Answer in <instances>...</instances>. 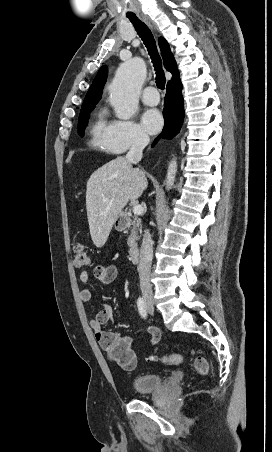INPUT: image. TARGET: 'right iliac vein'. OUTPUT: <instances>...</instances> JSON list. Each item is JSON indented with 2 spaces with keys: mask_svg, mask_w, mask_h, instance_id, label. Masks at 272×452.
I'll return each mask as SVG.
<instances>
[{
  "mask_svg": "<svg viewBox=\"0 0 272 452\" xmlns=\"http://www.w3.org/2000/svg\"><path fill=\"white\" fill-rule=\"evenodd\" d=\"M147 307H148L149 309H153L154 305H153L152 302H147Z\"/></svg>",
  "mask_w": 272,
  "mask_h": 452,
  "instance_id": "obj_1",
  "label": "right iliac vein"
}]
</instances>
